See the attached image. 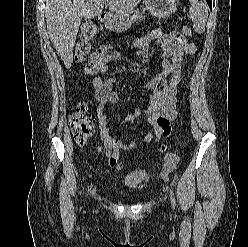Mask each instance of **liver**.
Wrapping results in <instances>:
<instances>
[{"label": "liver", "instance_id": "1", "mask_svg": "<svg viewBox=\"0 0 248 247\" xmlns=\"http://www.w3.org/2000/svg\"><path fill=\"white\" fill-rule=\"evenodd\" d=\"M116 15L133 12L141 0H109ZM105 0H46V23L51 42L66 68L73 62V47L83 18L101 14Z\"/></svg>", "mask_w": 248, "mask_h": 247}]
</instances>
